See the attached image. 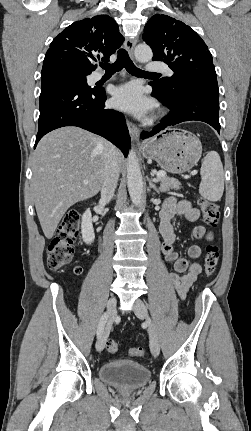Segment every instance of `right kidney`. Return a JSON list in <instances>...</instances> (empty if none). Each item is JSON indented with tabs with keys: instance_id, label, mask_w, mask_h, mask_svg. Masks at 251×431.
Returning <instances> with one entry per match:
<instances>
[{
	"instance_id": "ca27d5eb",
	"label": "right kidney",
	"mask_w": 251,
	"mask_h": 431,
	"mask_svg": "<svg viewBox=\"0 0 251 431\" xmlns=\"http://www.w3.org/2000/svg\"><path fill=\"white\" fill-rule=\"evenodd\" d=\"M81 233L83 241L86 244H91L94 241L95 234L92 225V214L89 209H87L82 216Z\"/></svg>"
}]
</instances>
